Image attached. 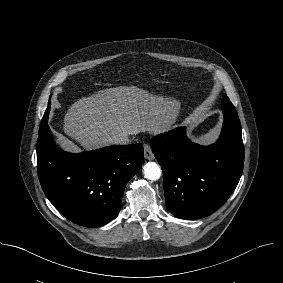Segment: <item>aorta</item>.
Here are the masks:
<instances>
[{
    "mask_svg": "<svg viewBox=\"0 0 283 283\" xmlns=\"http://www.w3.org/2000/svg\"><path fill=\"white\" fill-rule=\"evenodd\" d=\"M143 173L148 180L156 181L161 176V168L156 162H148L143 167Z\"/></svg>",
    "mask_w": 283,
    "mask_h": 283,
    "instance_id": "1",
    "label": "aorta"
}]
</instances>
